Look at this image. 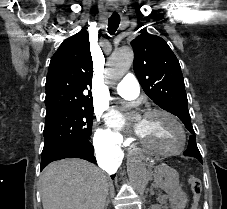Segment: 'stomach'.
Returning <instances> with one entry per match:
<instances>
[{
	"instance_id": "stomach-1",
	"label": "stomach",
	"mask_w": 227,
	"mask_h": 209,
	"mask_svg": "<svg viewBox=\"0 0 227 209\" xmlns=\"http://www.w3.org/2000/svg\"><path fill=\"white\" fill-rule=\"evenodd\" d=\"M155 184L164 190L170 199L172 209H184L187 204V196L179 184L177 171L166 164L156 166L154 171Z\"/></svg>"
}]
</instances>
